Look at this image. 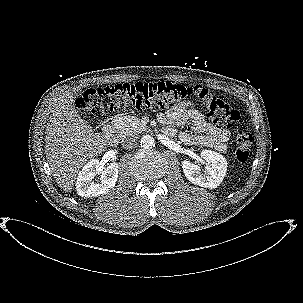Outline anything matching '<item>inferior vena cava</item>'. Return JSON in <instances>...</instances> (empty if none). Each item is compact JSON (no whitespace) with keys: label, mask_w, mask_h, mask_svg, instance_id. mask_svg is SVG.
<instances>
[{"label":"inferior vena cava","mask_w":303,"mask_h":303,"mask_svg":"<svg viewBox=\"0 0 303 303\" xmlns=\"http://www.w3.org/2000/svg\"><path fill=\"white\" fill-rule=\"evenodd\" d=\"M136 141V136L131 134L124 136L122 139L123 145L128 149H131L136 146Z\"/></svg>","instance_id":"602c4592"}]
</instances>
